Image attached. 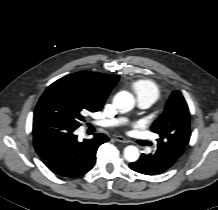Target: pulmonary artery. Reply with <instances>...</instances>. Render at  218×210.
Masks as SVG:
<instances>
[{"label":"pulmonary artery","mask_w":218,"mask_h":210,"mask_svg":"<svg viewBox=\"0 0 218 210\" xmlns=\"http://www.w3.org/2000/svg\"><path fill=\"white\" fill-rule=\"evenodd\" d=\"M138 106L142 109H147L153 104V99L150 96H140L137 98ZM123 122V119H108L96 122V125L102 127H113Z\"/></svg>","instance_id":"obj_1"}]
</instances>
